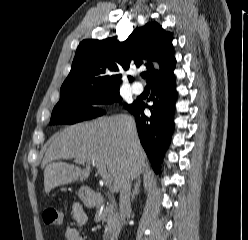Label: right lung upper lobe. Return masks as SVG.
Returning a JSON list of instances; mask_svg holds the SVG:
<instances>
[{
    "label": "right lung upper lobe",
    "instance_id": "right-lung-upper-lobe-1",
    "mask_svg": "<svg viewBox=\"0 0 248 240\" xmlns=\"http://www.w3.org/2000/svg\"><path fill=\"white\" fill-rule=\"evenodd\" d=\"M172 34L166 32L157 22H149L137 27L125 40L116 37L105 40H83L77 50L71 71L61 86L66 89L95 88L101 90L119 89L122 75L120 69L127 70L130 60L139 67L146 59L150 72V84L173 73L176 60L172 45ZM152 61L159 64L155 69ZM132 81V77H128ZM60 91V92H61Z\"/></svg>",
    "mask_w": 248,
    "mask_h": 240
}]
</instances>
